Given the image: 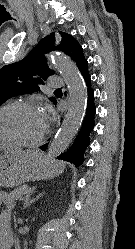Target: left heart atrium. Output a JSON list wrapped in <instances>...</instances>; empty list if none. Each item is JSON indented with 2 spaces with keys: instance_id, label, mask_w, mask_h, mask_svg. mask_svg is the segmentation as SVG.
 <instances>
[{
  "instance_id": "left-heart-atrium-1",
  "label": "left heart atrium",
  "mask_w": 135,
  "mask_h": 249,
  "mask_svg": "<svg viewBox=\"0 0 135 249\" xmlns=\"http://www.w3.org/2000/svg\"><path fill=\"white\" fill-rule=\"evenodd\" d=\"M48 119H49V116L47 114H44L45 123H46V121H48Z\"/></svg>"
}]
</instances>
